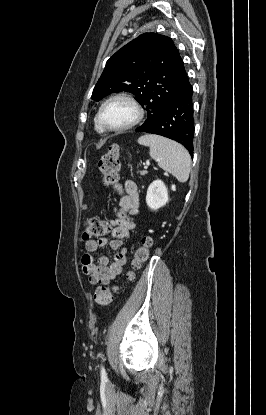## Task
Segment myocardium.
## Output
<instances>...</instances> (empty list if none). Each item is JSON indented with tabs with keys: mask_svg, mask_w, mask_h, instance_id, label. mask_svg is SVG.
I'll return each instance as SVG.
<instances>
[{
	"mask_svg": "<svg viewBox=\"0 0 266 415\" xmlns=\"http://www.w3.org/2000/svg\"><path fill=\"white\" fill-rule=\"evenodd\" d=\"M116 100H124L126 102H128L135 110V117L133 118V120L131 122H129L126 125L123 126H119V127H111L108 126L103 119V112L105 107ZM144 116V110L142 108V106L139 104V102L129 93H125V92H120V93H116L112 96H110L109 98H107L102 105L99 108V112H98V122L100 124V126L106 130V131H110V132H122V131H126L129 130L133 127H135L143 118Z\"/></svg>",
	"mask_w": 266,
	"mask_h": 415,
	"instance_id": "obj_1",
	"label": "myocardium"
}]
</instances>
